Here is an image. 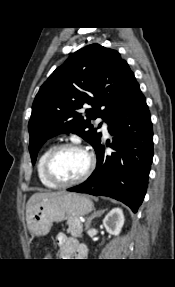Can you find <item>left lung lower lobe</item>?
Segmentation results:
<instances>
[{
  "mask_svg": "<svg viewBox=\"0 0 175 287\" xmlns=\"http://www.w3.org/2000/svg\"><path fill=\"white\" fill-rule=\"evenodd\" d=\"M114 135L105 152L99 143L95 149L97 166L82 184L68 191L107 196L119 200L136 213L146 194L153 158V130L149 108L139 84L128 103L108 122Z\"/></svg>",
  "mask_w": 175,
  "mask_h": 287,
  "instance_id": "left-lung-lower-lobe-1",
  "label": "left lung lower lobe"
}]
</instances>
